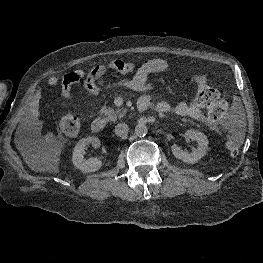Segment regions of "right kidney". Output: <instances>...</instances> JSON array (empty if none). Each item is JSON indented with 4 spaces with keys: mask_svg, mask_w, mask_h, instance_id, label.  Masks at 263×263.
Here are the masks:
<instances>
[{
    "mask_svg": "<svg viewBox=\"0 0 263 263\" xmlns=\"http://www.w3.org/2000/svg\"><path fill=\"white\" fill-rule=\"evenodd\" d=\"M90 144L95 148L99 147L100 140L97 137L93 136L82 138L76 144L73 151L72 162L77 169L81 170L84 173L95 172L99 170L103 165L102 161L98 158H90L88 160L84 158L85 147Z\"/></svg>",
    "mask_w": 263,
    "mask_h": 263,
    "instance_id": "ca27d5eb",
    "label": "right kidney"
}]
</instances>
